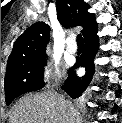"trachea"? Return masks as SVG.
<instances>
[{"label":"trachea","instance_id":"3493384b","mask_svg":"<svg viewBox=\"0 0 122 123\" xmlns=\"http://www.w3.org/2000/svg\"><path fill=\"white\" fill-rule=\"evenodd\" d=\"M77 44L78 45H84V40L81 34L77 35Z\"/></svg>","mask_w":122,"mask_h":123}]
</instances>
